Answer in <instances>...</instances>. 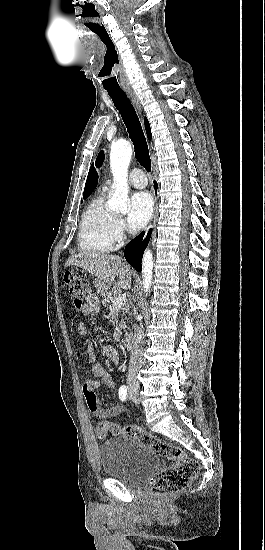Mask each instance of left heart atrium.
Wrapping results in <instances>:
<instances>
[{
	"label": "left heart atrium",
	"instance_id": "1",
	"mask_svg": "<svg viewBox=\"0 0 265 550\" xmlns=\"http://www.w3.org/2000/svg\"><path fill=\"white\" fill-rule=\"evenodd\" d=\"M153 212V201L147 192H138L130 199V209L127 222L130 228L137 230L143 228L150 220Z\"/></svg>",
	"mask_w": 265,
	"mask_h": 550
}]
</instances>
